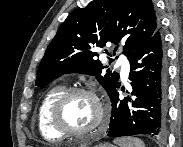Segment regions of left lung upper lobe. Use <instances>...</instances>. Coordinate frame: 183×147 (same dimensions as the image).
Here are the masks:
<instances>
[{"instance_id": "obj_1", "label": "left lung upper lobe", "mask_w": 183, "mask_h": 147, "mask_svg": "<svg viewBox=\"0 0 183 147\" xmlns=\"http://www.w3.org/2000/svg\"><path fill=\"white\" fill-rule=\"evenodd\" d=\"M159 27L151 0H93L73 11L59 27L39 65L35 85L45 87L65 73L89 74L110 95L119 74L109 69L103 74L108 66L96 59L99 54L93 49L124 42L123 53L128 57Z\"/></svg>"}]
</instances>
